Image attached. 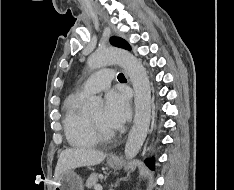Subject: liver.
<instances>
[{
  "label": "liver",
  "mask_w": 234,
  "mask_h": 190,
  "mask_svg": "<svg viewBox=\"0 0 234 190\" xmlns=\"http://www.w3.org/2000/svg\"><path fill=\"white\" fill-rule=\"evenodd\" d=\"M106 157V154L87 148H69L62 151L59 155L55 168V180L67 171L82 166H93L100 164Z\"/></svg>",
  "instance_id": "liver-1"
}]
</instances>
